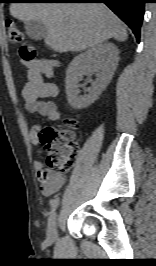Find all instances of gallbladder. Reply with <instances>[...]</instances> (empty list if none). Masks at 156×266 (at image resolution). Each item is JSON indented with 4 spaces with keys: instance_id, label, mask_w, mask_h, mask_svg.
<instances>
[{
    "instance_id": "obj_1",
    "label": "gallbladder",
    "mask_w": 156,
    "mask_h": 266,
    "mask_svg": "<svg viewBox=\"0 0 156 266\" xmlns=\"http://www.w3.org/2000/svg\"><path fill=\"white\" fill-rule=\"evenodd\" d=\"M24 28L26 34L33 40H42L45 38L47 33L44 23L39 20L26 22Z\"/></svg>"
}]
</instances>
